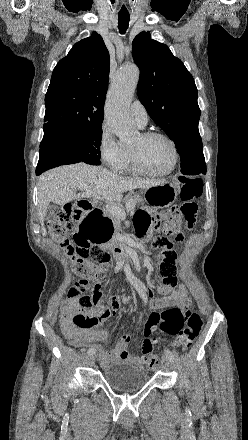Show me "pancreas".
Returning a JSON list of instances; mask_svg holds the SVG:
<instances>
[{
  "label": "pancreas",
  "instance_id": "pancreas-1",
  "mask_svg": "<svg viewBox=\"0 0 248 440\" xmlns=\"http://www.w3.org/2000/svg\"><path fill=\"white\" fill-rule=\"evenodd\" d=\"M132 200H133V202H134V206H135L136 204H140V203L143 202V199H142L139 195H137V194H133V193H130V194H128V195L125 197V199H124L125 207H127V205H128ZM105 214H106L107 216H109V217L112 219L113 223L115 224V228H116V230H117V231H121L120 219H119L118 217H116V216L111 215V214H110L109 212H107L106 210H105Z\"/></svg>",
  "mask_w": 248,
  "mask_h": 440
}]
</instances>
